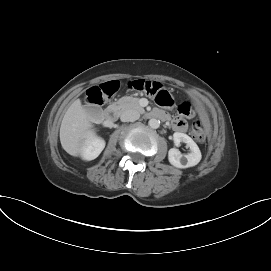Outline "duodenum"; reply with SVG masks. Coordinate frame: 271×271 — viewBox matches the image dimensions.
<instances>
[{
    "label": "duodenum",
    "instance_id": "1",
    "mask_svg": "<svg viewBox=\"0 0 271 271\" xmlns=\"http://www.w3.org/2000/svg\"><path fill=\"white\" fill-rule=\"evenodd\" d=\"M117 108L115 106H109L108 108H106L103 113H102V120L105 124L107 125H112L116 118H117ZM151 116L153 117H159L162 119H166V115L159 112V111H155L153 113H151Z\"/></svg>",
    "mask_w": 271,
    "mask_h": 271
}]
</instances>
